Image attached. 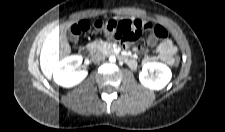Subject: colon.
Here are the masks:
<instances>
[{
	"mask_svg": "<svg viewBox=\"0 0 225 132\" xmlns=\"http://www.w3.org/2000/svg\"><path fill=\"white\" fill-rule=\"evenodd\" d=\"M94 28L100 30L102 33L112 35L114 38L124 41H136L139 38L142 30H145L139 27L134 31L121 32L112 22V20L110 21L97 20L94 23ZM148 31L150 32V37H155L156 39L165 38L167 36L166 30L160 27H155ZM179 59L180 58L176 56L174 63L175 64L178 63Z\"/></svg>",
	"mask_w": 225,
	"mask_h": 132,
	"instance_id": "1",
	"label": "colon"
}]
</instances>
